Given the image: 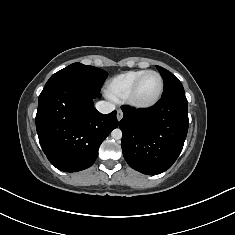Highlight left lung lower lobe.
<instances>
[{"instance_id": "0a47b994", "label": "left lung lower lobe", "mask_w": 235, "mask_h": 235, "mask_svg": "<svg viewBox=\"0 0 235 235\" xmlns=\"http://www.w3.org/2000/svg\"><path fill=\"white\" fill-rule=\"evenodd\" d=\"M122 151L135 170L155 175L169 169L182 151L188 131L184 94L162 97L149 109L121 107Z\"/></svg>"}]
</instances>
